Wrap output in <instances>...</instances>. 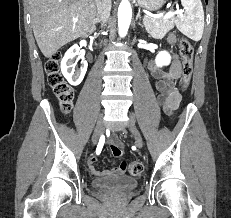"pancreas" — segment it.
Instances as JSON below:
<instances>
[{"label":"pancreas","instance_id":"obj_1","mask_svg":"<svg viewBox=\"0 0 231 218\" xmlns=\"http://www.w3.org/2000/svg\"><path fill=\"white\" fill-rule=\"evenodd\" d=\"M176 18L155 19L144 18L143 23L148 33L155 38H163L168 31L173 29Z\"/></svg>","mask_w":231,"mask_h":218}]
</instances>
